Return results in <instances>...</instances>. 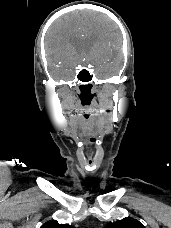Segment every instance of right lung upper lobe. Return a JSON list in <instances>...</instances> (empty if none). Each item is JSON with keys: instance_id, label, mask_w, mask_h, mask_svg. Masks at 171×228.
<instances>
[{"instance_id": "cb5924a9", "label": "right lung upper lobe", "mask_w": 171, "mask_h": 228, "mask_svg": "<svg viewBox=\"0 0 171 228\" xmlns=\"http://www.w3.org/2000/svg\"><path fill=\"white\" fill-rule=\"evenodd\" d=\"M40 228H74L69 224H59L57 221H48L44 223Z\"/></svg>"}]
</instances>
